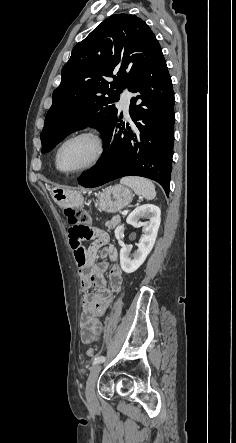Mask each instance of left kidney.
Instances as JSON below:
<instances>
[{
    "label": "left kidney",
    "mask_w": 236,
    "mask_h": 443,
    "mask_svg": "<svg viewBox=\"0 0 236 443\" xmlns=\"http://www.w3.org/2000/svg\"><path fill=\"white\" fill-rule=\"evenodd\" d=\"M160 215L161 210L158 206L145 204L137 207L127 217L126 222L134 227L141 224L139 221L140 218H147L149 222L143 229L144 233L137 244V250L133 254H131L128 246H123L120 250V265L125 273H133L136 271L151 252L161 222Z\"/></svg>",
    "instance_id": "5707ae66"
}]
</instances>
